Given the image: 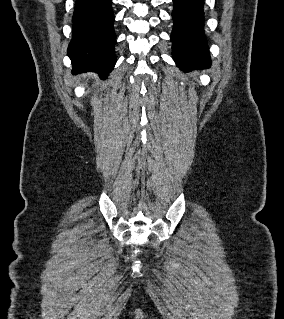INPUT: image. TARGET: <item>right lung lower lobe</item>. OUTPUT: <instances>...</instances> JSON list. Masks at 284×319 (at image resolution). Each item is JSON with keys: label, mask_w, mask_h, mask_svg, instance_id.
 Listing matches in <instances>:
<instances>
[{"label": "right lung lower lobe", "mask_w": 284, "mask_h": 319, "mask_svg": "<svg viewBox=\"0 0 284 319\" xmlns=\"http://www.w3.org/2000/svg\"><path fill=\"white\" fill-rule=\"evenodd\" d=\"M112 0H76L68 56L73 73L92 71L105 79L116 58Z\"/></svg>", "instance_id": "obj_1"}]
</instances>
